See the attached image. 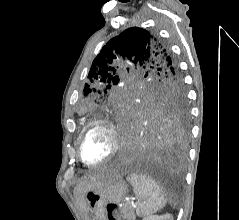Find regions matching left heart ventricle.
<instances>
[{"label":"left heart ventricle","mask_w":239,"mask_h":220,"mask_svg":"<svg viewBox=\"0 0 239 220\" xmlns=\"http://www.w3.org/2000/svg\"><path fill=\"white\" fill-rule=\"evenodd\" d=\"M112 139L104 127H94L85 135L82 142L83 157L89 162L103 159L110 151Z\"/></svg>","instance_id":"1"}]
</instances>
